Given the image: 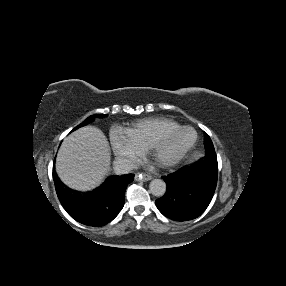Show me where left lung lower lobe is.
Segmentation results:
<instances>
[{
    "label": "left lung lower lobe",
    "instance_id": "1",
    "mask_svg": "<svg viewBox=\"0 0 286 286\" xmlns=\"http://www.w3.org/2000/svg\"><path fill=\"white\" fill-rule=\"evenodd\" d=\"M218 176L215 152L163 176L167 184L165 195L156 200V206L166 217L187 221L199 217L208 207L214 195Z\"/></svg>",
    "mask_w": 286,
    "mask_h": 286
}]
</instances>
